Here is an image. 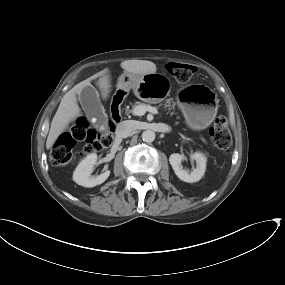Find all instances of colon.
I'll use <instances>...</instances> for the list:
<instances>
[{"label":"colon","instance_id":"obj_1","mask_svg":"<svg viewBox=\"0 0 285 285\" xmlns=\"http://www.w3.org/2000/svg\"><path fill=\"white\" fill-rule=\"evenodd\" d=\"M166 68L171 77L181 82L189 81L195 72L194 66L177 62H170ZM113 131L114 127L111 126L108 132L97 133L90 128L85 118H79L54 142L50 162L54 166L75 163L78 160L75 149L79 144H82L86 153L102 150L112 142ZM209 135L216 148L223 152L229 150L232 139L228 122L224 117L216 119L209 130Z\"/></svg>","mask_w":285,"mask_h":285}]
</instances>
